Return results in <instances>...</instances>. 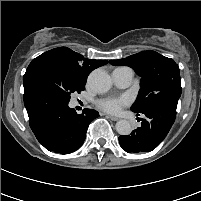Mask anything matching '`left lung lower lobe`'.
Instances as JSON below:
<instances>
[{"instance_id":"0a47b994","label":"left lung lower lobe","mask_w":201,"mask_h":201,"mask_svg":"<svg viewBox=\"0 0 201 201\" xmlns=\"http://www.w3.org/2000/svg\"><path fill=\"white\" fill-rule=\"evenodd\" d=\"M141 127L130 135L120 136L121 147L128 153L154 150L166 137L176 118V107L157 105L143 112ZM139 116V114H137Z\"/></svg>"}]
</instances>
